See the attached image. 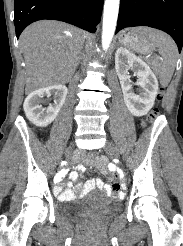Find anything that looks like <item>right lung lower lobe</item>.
<instances>
[{
    "mask_svg": "<svg viewBox=\"0 0 183 246\" xmlns=\"http://www.w3.org/2000/svg\"><path fill=\"white\" fill-rule=\"evenodd\" d=\"M102 7L103 0H15L16 36L19 38L26 26L42 19L64 21L94 33Z\"/></svg>",
    "mask_w": 183,
    "mask_h": 246,
    "instance_id": "obj_1",
    "label": "right lung lower lobe"
}]
</instances>
